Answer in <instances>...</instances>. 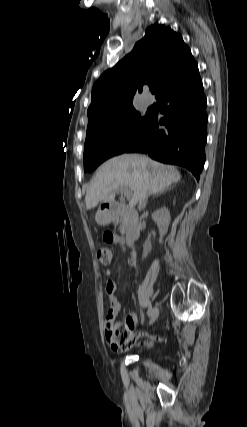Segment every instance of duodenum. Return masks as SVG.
Returning <instances> with one entry per match:
<instances>
[{"instance_id": "1", "label": "duodenum", "mask_w": 247, "mask_h": 427, "mask_svg": "<svg viewBox=\"0 0 247 427\" xmlns=\"http://www.w3.org/2000/svg\"><path fill=\"white\" fill-rule=\"evenodd\" d=\"M103 210L107 217L115 218L122 216L126 220V232L124 243L133 246L140 236V226L137 212L130 206L118 201H109L103 205Z\"/></svg>"}]
</instances>
